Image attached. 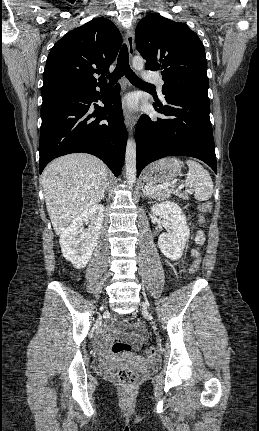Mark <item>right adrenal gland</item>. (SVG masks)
<instances>
[{
    "mask_svg": "<svg viewBox=\"0 0 259 431\" xmlns=\"http://www.w3.org/2000/svg\"><path fill=\"white\" fill-rule=\"evenodd\" d=\"M108 188H109V181L107 183V187H106L105 193L108 191ZM105 193H104L103 197L105 196Z\"/></svg>",
    "mask_w": 259,
    "mask_h": 431,
    "instance_id": "obj_1",
    "label": "right adrenal gland"
}]
</instances>
